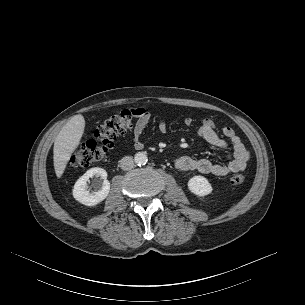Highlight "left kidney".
<instances>
[{"instance_id":"obj_1","label":"left kidney","mask_w":305,"mask_h":305,"mask_svg":"<svg viewBox=\"0 0 305 305\" xmlns=\"http://www.w3.org/2000/svg\"><path fill=\"white\" fill-rule=\"evenodd\" d=\"M188 189L197 196H206L212 192V186L203 176H194L188 181Z\"/></svg>"}]
</instances>
